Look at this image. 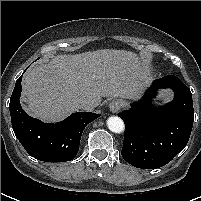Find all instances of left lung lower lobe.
<instances>
[{"instance_id": "obj_1", "label": "left lung lower lobe", "mask_w": 201, "mask_h": 201, "mask_svg": "<svg viewBox=\"0 0 201 201\" xmlns=\"http://www.w3.org/2000/svg\"><path fill=\"white\" fill-rule=\"evenodd\" d=\"M160 88L173 89L175 97L155 108L150 102ZM118 116L125 123L124 160L137 168H160L188 143L194 121L192 94L178 77L168 75L155 80L140 102Z\"/></svg>"}]
</instances>
